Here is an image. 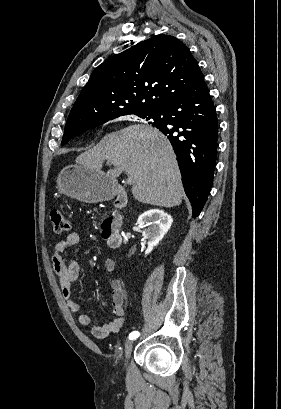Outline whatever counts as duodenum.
Wrapping results in <instances>:
<instances>
[{
  "instance_id": "1",
  "label": "duodenum",
  "mask_w": 281,
  "mask_h": 409,
  "mask_svg": "<svg viewBox=\"0 0 281 409\" xmlns=\"http://www.w3.org/2000/svg\"><path fill=\"white\" fill-rule=\"evenodd\" d=\"M127 187L115 186L113 202L117 203V207L120 209L126 202ZM101 228L104 237L107 239L109 246L112 249H119L122 246V234L116 225L115 216H106L101 222Z\"/></svg>"
}]
</instances>
